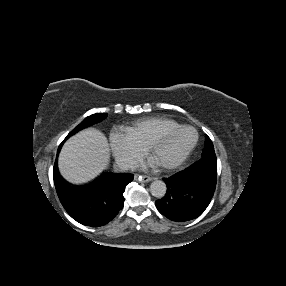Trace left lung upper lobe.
I'll list each match as a JSON object with an SVG mask.
<instances>
[{
  "label": "left lung upper lobe",
  "instance_id": "left-lung-upper-lobe-1",
  "mask_svg": "<svg viewBox=\"0 0 286 286\" xmlns=\"http://www.w3.org/2000/svg\"><path fill=\"white\" fill-rule=\"evenodd\" d=\"M210 154H215L214 151V146L212 141L210 140V138L206 135V141H205V148H204V152H203V157L210 155Z\"/></svg>",
  "mask_w": 286,
  "mask_h": 286
}]
</instances>
